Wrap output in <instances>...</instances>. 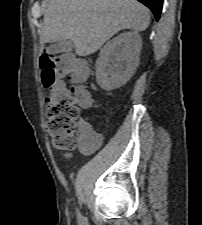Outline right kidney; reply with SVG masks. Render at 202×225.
Masks as SVG:
<instances>
[{
    "instance_id": "ca27d5eb",
    "label": "right kidney",
    "mask_w": 202,
    "mask_h": 225,
    "mask_svg": "<svg viewBox=\"0 0 202 225\" xmlns=\"http://www.w3.org/2000/svg\"><path fill=\"white\" fill-rule=\"evenodd\" d=\"M142 40L137 31L121 33L100 50L96 61L98 85L106 91L119 88L133 76Z\"/></svg>"
}]
</instances>
